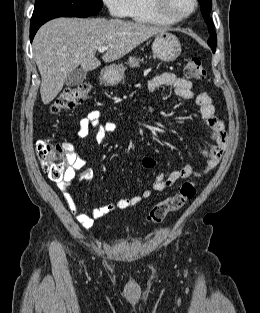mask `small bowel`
Returning a JSON list of instances; mask_svg holds the SVG:
<instances>
[{
  "label": "small bowel",
  "instance_id": "obj_1",
  "mask_svg": "<svg viewBox=\"0 0 260 313\" xmlns=\"http://www.w3.org/2000/svg\"><path fill=\"white\" fill-rule=\"evenodd\" d=\"M164 87L172 88L174 94L181 99H195L199 106L203 118L210 127L213 140V145L210 149L202 150L205 165L201 169L196 170L192 165L187 164L174 170L168 176L164 173H158L155 177L152 189L143 191L140 196L120 199L114 203L94 208L92 212L88 214L78 207L73 196L69 192L68 187L76 179H81L83 181L89 180L92 174L90 171L78 174V171L82 167V160L76 154L72 153L70 155L71 166L62 180L57 183V186L64 196L68 209L83 227L90 229L93 227L95 219L103 217L115 209H127L133 207L140 203L142 199L150 198L153 191L162 192L180 179L203 176L213 169L221 160L227 148V134L224 123L216 115L211 97L206 92H201L195 96L192 90V83L172 73L158 74L148 83V89L150 92H155ZM100 117V111L91 110L80 120V128L78 131L80 139L87 138L90 129L92 128L96 132L97 141L102 142L108 134L113 133L116 130L117 126L114 122H102ZM142 164L147 168H153L155 166V161L151 157L145 156L142 158Z\"/></svg>",
  "mask_w": 260,
  "mask_h": 313
}]
</instances>
